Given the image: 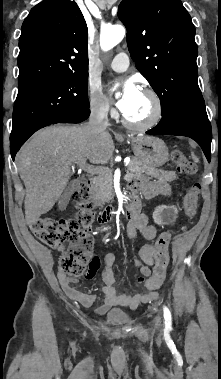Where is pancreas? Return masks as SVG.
Listing matches in <instances>:
<instances>
[{"label":"pancreas","mask_w":221,"mask_h":379,"mask_svg":"<svg viewBox=\"0 0 221 379\" xmlns=\"http://www.w3.org/2000/svg\"><path fill=\"white\" fill-rule=\"evenodd\" d=\"M128 168L134 173L130 176V178L140 176L142 174H146L148 176L166 182H172L177 178L174 171H165L152 166H148L135 157L131 159ZM90 193L95 199H98L102 203L113 200L115 194L113 190L111 169H105L102 174L94 179Z\"/></svg>","instance_id":"cf45deb5"}]
</instances>
